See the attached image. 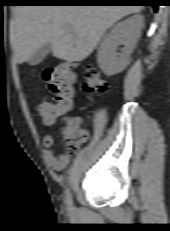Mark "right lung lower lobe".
Wrapping results in <instances>:
<instances>
[{
  "mask_svg": "<svg viewBox=\"0 0 170 231\" xmlns=\"http://www.w3.org/2000/svg\"><path fill=\"white\" fill-rule=\"evenodd\" d=\"M160 0H28L33 5H150L156 12Z\"/></svg>",
  "mask_w": 170,
  "mask_h": 231,
  "instance_id": "1",
  "label": "right lung lower lobe"
}]
</instances>
